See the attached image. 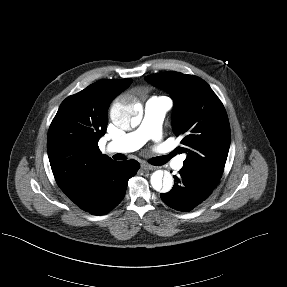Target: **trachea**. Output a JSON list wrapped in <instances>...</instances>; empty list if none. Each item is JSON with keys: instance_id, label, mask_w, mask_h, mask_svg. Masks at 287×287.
Listing matches in <instances>:
<instances>
[{"instance_id": "trachea-1", "label": "trachea", "mask_w": 287, "mask_h": 287, "mask_svg": "<svg viewBox=\"0 0 287 287\" xmlns=\"http://www.w3.org/2000/svg\"><path fill=\"white\" fill-rule=\"evenodd\" d=\"M173 157V154H169L167 156H159V157H155V158H152L150 159V163L152 165H155V166H160V165H163L165 163H167L169 161L170 158ZM114 159L116 160H124L125 159V156L123 154H116L114 156Z\"/></svg>"}]
</instances>
